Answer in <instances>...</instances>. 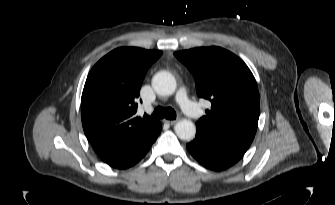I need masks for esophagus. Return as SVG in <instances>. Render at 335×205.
Listing matches in <instances>:
<instances>
[{
    "label": "esophagus",
    "mask_w": 335,
    "mask_h": 205,
    "mask_svg": "<svg viewBox=\"0 0 335 205\" xmlns=\"http://www.w3.org/2000/svg\"><path fill=\"white\" fill-rule=\"evenodd\" d=\"M164 122H166V123H168V124H170V125H174V124H176L177 123V120H164Z\"/></svg>",
    "instance_id": "1"
}]
</instances>
